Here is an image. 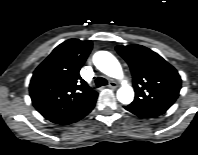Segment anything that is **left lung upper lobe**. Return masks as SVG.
Here are the masks:
<instances>
[{"label":"left lung upper lobe","mask_w":198,"mask_h":155,"mask_svg":"<svg viewBox=\"0 0 198 155\" xmlns=\"http://www.w3.org/2000/svg\"><path fill=\"white\" fill-rule=\"evenodd\" d=\"M117 52L130 66L135 99L131 106L167 111L179 96L181 78L161 56L141 45H119Z\"/></svg>","instance_id":"5c2ea615"}]
</instances>
